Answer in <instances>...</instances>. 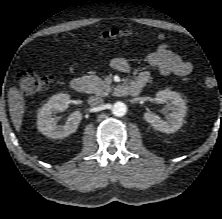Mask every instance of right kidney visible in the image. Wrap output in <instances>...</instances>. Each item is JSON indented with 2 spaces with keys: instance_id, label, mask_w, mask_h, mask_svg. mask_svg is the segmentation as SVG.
<instances>
[{
  "instance_id": "obj_1",
  "label": "right kidney",
  "mask_w": 222,
  "mask_h": 219,
  "mask_svg": "<svg viewBox=\"0 0 222 219\" xmlns=\"http://www.w3.org/2000/svg\"><path fill=\"white\" fill-rule=\"evenodd\" d=\"M70 96L60 93L52 96L38 111L37 128L45 136L52 139H61L76 132L82 119L80 111H74L64 125H57L53 115L66 109Z\"/></svg>"
}]
</instances>
